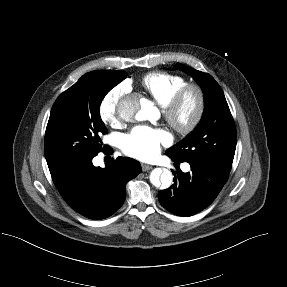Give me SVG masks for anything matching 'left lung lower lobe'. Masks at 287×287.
<instances>
[{
	"instance_id": "left-lung-lower-lobe-1",
	"label": "left lung lower lobe",
	"mask_w": 287,
	"mask_h": 287,
	"mask_svg": "<svg viewBox=\"0 0 287 287\" xmlns=\"http://www.w3.org/2000/svg\"><path fill=\"white\" fill-rule=\"evenodd\" d=\"M187 162L191 172L183 173L180 169L173 171L174 184L158 193L161 205L178 216H192L208 207L229 176V172L213 165L197 160Z\"/></svg>"
}]
</instances>
